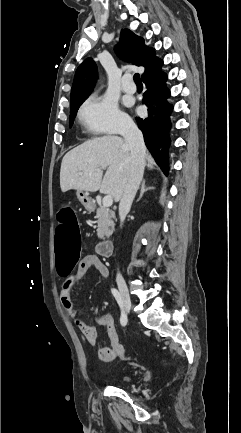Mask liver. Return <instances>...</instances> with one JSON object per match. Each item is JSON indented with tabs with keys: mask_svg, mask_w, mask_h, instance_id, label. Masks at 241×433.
<instances>
[{
	"mask_svg": "<svg viewBox=\"0 0 241 433\" xmlns=\"http://www.w3.org/2000/svg\"><path fill=\"white\" fill-rule=\"evenodd\" d=\"M148 168L155 164L146 155ZM131 167V153L118 136H104L89 140L69 151L62 159L60 187L62 192H96L110 195L115 201L122 197ZM106 173L103 176V170ZM82 173V174H80Z\"/></svg>",
	"mask_w": 241,
	"mask_h": 433,
	"instance_id": "1",
	"label": "liver"
}]
</instances>
